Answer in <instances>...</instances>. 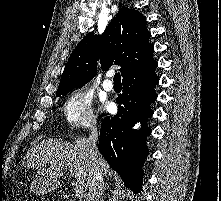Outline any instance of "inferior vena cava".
<instances>
[{
    "label": "inferior vena cava",
    "instance_id": "602c4592",
    "mask_svg": "<svg viewBox=\"0 0 221 201\" xmlns=\"http://www.w3.org/2000/svg\"><path fill=\"white\" fill-rule=\"evenodd\" d=\"M91 134L88 138L89 153L92 165V177L89 184L88 201H99V196L103 186L102 170L99 164V154L96 146L98 131L96 121L90 125Z\"/></svg>",
    "mask_w": 221,
    "mask_h": 201
}]
</instances>
